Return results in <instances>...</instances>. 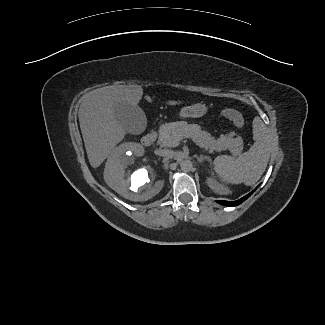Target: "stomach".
Here are the masks:
<instances>
[{
  "instance_id": "stomach-1",
  "label": "stomach",
  "mask_w": 325,
  "mask_h": 325,
  "mask_svg": "<svg viewBox=\"0 0 325 325\" xmlns=\"http://www.w3.org/2000/svg\"><path fill=\"white\" fill-rule=\"evenodd\" d=\"M207 107L205 104H194L192 106H186L181 109L180 116L182 118H197L202 117L206 114Z\"/></svg>"
}]
</instances>
